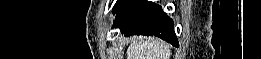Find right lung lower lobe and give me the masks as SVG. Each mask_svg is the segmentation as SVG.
I'll return each instance as SVG.
<instances>
[{"mask_svg":"<svg viewBox=\"0 0 261 59\" xmlns=\"http://www.w3.org/2000/svg\"><path fill=\"white\" fill-rule=\"evenodd\" d=\"M114 13L117 16L113 28L118 27L125 36L155 35L178 46L173 21L161 6L145 0H124Z\"/></svg>","mask_w":261,"mask_h":59,"instance_id":"obj_1","label":"right lung lower lobe"}]
</instances>
